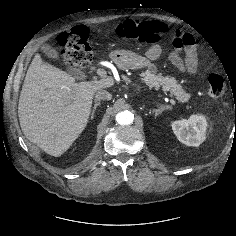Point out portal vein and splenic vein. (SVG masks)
I'll return each mask as SVG.
<instances>
[{
  "label": "portal vein and splenic vein",
  "mask_w": 236,
  "mask_h": 236,
  "mask_svg": "<svg viewBox=\"0 0 236 236\" xmlns=\"http://www.w3.org/2000/svg\"><path fill=\"white\" fill-rule=\"evenodd\" d=\"M96 73H97V75H99L103 79H107L108 78L107 72L104 69H97ZM170 103L172 105L176 104V102L173 99H170Z\"/></svg>",
  "instance_id": "obj_1"
}]
</instances>
